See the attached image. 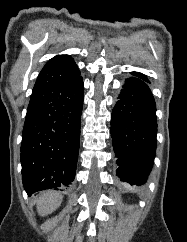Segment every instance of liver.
<instances>
[{
  "label": "liver",
  "mask_w": 187,
  "mask_h": 242,
  "mask_svg": "<svg viewBox=\"0 0 187 242\" xmlns=\"http://www.w3.org/2000/svg\"><path fill=\"white\" fill-rule=\"evenodd\" d=\"M62 199V195L57 192L48 191L44 193L37 202L38 213L41 216L49 215L60 206Z\"/></svg>",
  "instance_id": "1"
}]
</instances>
